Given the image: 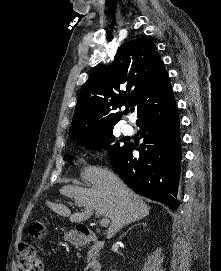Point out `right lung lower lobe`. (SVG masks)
I'll use <instances>...</instances> for the list:
<instances>
[{"label":"right lung lower lobe","instance_id":"98d812e1","mask_svg":"<svg viewBox=\"0 0 221 271\" xmlns=\"http://www.w3.org/2000/svg\"><path fill=\"white\" fill-rule=\"evenodd\" d=\"M137 126L143 131L138 158L127 144L113 160L117 172L136 193L176 209L180 176V123L175 100L161 110L142 116Z\"/></svg>","mask_w":221,"mask_h":271}]
</instances>
